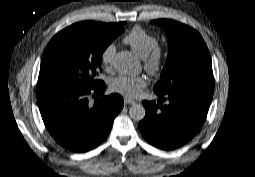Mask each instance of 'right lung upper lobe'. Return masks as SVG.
<instances>
[{"mask_svg": "<svg viewBox=\"0 0 255 177\" xmlns=\"http://www.w3.org/2000/svg\"><path fill=\"white\" fill-rule=\"evenodd\" d=\"M84 23L100 26V27L106 28L108 30L116 29L118 24H119V23H109V24H106V23H98V22H93V21H86Z\"/></svg>", "mask_w": 255, "mask_h": 177, "instance_id": "1", "label": "right lung upper lobe"}]
</instances>
